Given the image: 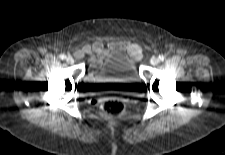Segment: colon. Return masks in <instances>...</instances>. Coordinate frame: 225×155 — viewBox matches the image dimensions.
<instances>
[{"label": "colon", "mask_w": 225, "mask_h": 155, "mask_svg": "<svg viewBox=\"0 0 225 155\" xmlns=\"http://www.w3.org/2000/svg\"><path fill=\"white\" fill-rule=\"evenodd\" d=\"M93 104L100 110L102 117L108 120L127 114L125 102L120 97L112 96L104 99H95Z\"/></svg>", "instance_id": "colon-1"}]
</instances>
